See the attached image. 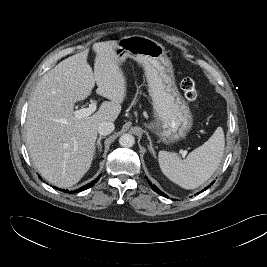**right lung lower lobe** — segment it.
Instances as JSON below:
<instances>
[{"mask_svg":"<svg viewBox=\"0 0 267 267\" xmlns=\"http://www.w3.org/2000/svg\"><path fill=\"white\" fill-rule=\"evenodd\" d=\"M99 178H100V175H99V177H98L97 179H95V181H92V182H90L89 184H87V185L83 186L82 188L78 189L77 192H79V191H83V190H86V189L92 187V186L96 183V181H97ZM54 188H56V187H54ZM57 189H58V188H57ZM63 192H68V190H66V191L63 190ZM75 192H76L75 190H74V191H70V193H75Z\"/></svg>","mask_w":267,"mask_h":267,"instance_id":"1","label":"right lung lower lobe"}]
</instances>
